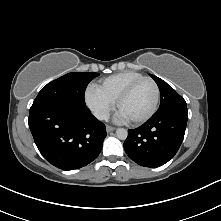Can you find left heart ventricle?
<instances>
[{"label": "left heart ventricle", "mask_w": 221, "mask_h": 221, "mask_svg": "<svg viewBox=\"0 0 221 221\" xmlns=\"http://www.w3.org/2000/svg\"><path fill=\"white\" fill-rule=\"evenodd\" d=\"M155 89L151 82L143 81L121 104L119 111L128 119L135 120L147 114L152 108Z\"/></svg>", "instance_id": "b2bd125f"}]
</instances>
